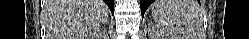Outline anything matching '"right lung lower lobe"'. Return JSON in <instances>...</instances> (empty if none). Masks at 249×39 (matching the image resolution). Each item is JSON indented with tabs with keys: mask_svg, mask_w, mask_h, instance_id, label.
I'll use <instances>...</instances> for the list:
<instances>
[{
	"mask_svg": "<svg viewBox=\"0 0 249 39\" xmlns=\"http://www.w3.org/2000/svg\"><path fill=\"white\" fill-rule=\"evenodd\" d=\"M111 12L114 13V0H104Z\"/></svg>",
	"mask_w": 249,
	"mask_h": 39,
	"instance_id": "1",
	"label": "right lung lower lobe"
}]
</instances>
